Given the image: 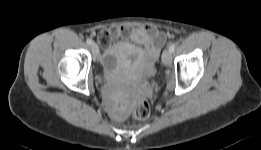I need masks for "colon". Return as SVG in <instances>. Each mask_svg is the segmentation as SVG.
Instances as JSON below:
<instances>
[{
    "label": "colon",
    "instance_id": "obj_1",
    "mask_svg": "<svg viewBox=\"0 0 261 150\" xmlns=\"http://www.w3.org/2000/svg\"><path fill=\"white\" fill-rule=\"evenodd\" d=\"M132 115L136 119H146L150 115V106L147 101H139L133 108Z\"/></svg>",
    "mask_w": 261,
    "mask_h": 150
}]
</instances>
